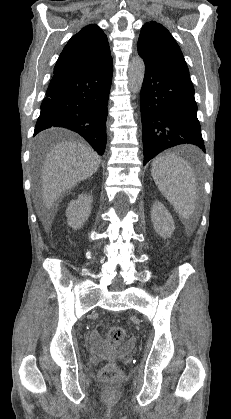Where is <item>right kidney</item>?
Returning <instances> with one entry per match:
<instances>
[{
  "label": "right kidney",
  "mask_w": 231,
  "mask_h": 419,
  "mask_svg": "<svg viewBox=\"0 0 231 419\" xmlns=\"http://www.w3.org/2000/svg\"><path fill=\"white\" fill-rule=\"evenodd\" d=\"M92 195L81 194L76 200H72L67 209V223L73 229H80L91 214Z\"/></svg>",
  "instance_id": "obj_1"
}]
</instances>
